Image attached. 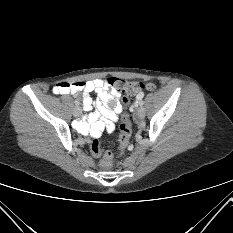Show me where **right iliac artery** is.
Here are the masks:
<instances>
[{
  "instance_id": "obj_1",
  "label": "right iliac artery",
  "mask_w": 233,
  "mask_h": 233,
  "mask_svg": "<svg viewBox=\"0 0 233 233\" xmlns=\"http://www.w3.org/2000/svg\"><path fill=\"white\" fill-rule=\"evenodd\" d=\"M80 102L78 100H75V105L78 106Z\"/></svg>"
}]
</instances>
